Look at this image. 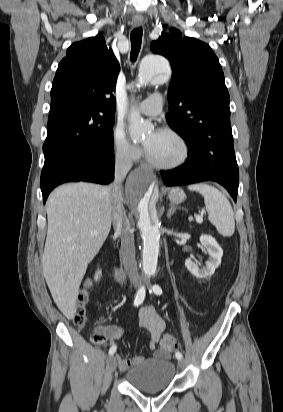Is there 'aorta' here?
<instances>
[{"label":"aorta","mask_w":283,"mask_h":412,"mask_svg":"<svg viewBox=\"0 0 283 412\" xmlns=\"http://www.w3.org/2000/svg\"><path fill=\"white\" fill-rule=\"evenodd\" d=\"M171 72L169 62L161 56H151L140 64L138 75L133 83L135 87H142L149 83L161 84L167 81ZM129 133L132 139L141 136L152 128L145 122L140 113L132 109L129 115ZM155 187L153 176L145 171L135 172L128 181L127 192L132 199L138 200L139 221L138 226L143 239L142 269L147 275L156 272L160 233L149 215V200Z\"/></svg>","instance_id":"762f6f07"}]
</instances>
